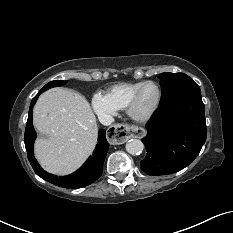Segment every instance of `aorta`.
Wrapping results in <instances>:
<instances>
[{"mask_svg": "<svg viewBox=\"0 0 233 233\" xmlns=\"http://www.w3.org/2000/svg\"><path fill=\"white\" fill-rule=\"evenodd\" d=\"M143 149L144 145L138 139H131L126 143V151L131 155H139Z\"/></svg>", "mask_w": 233, "mask_h": 233, "instance_id": "1", "label": "aorta"}]
</instances>
